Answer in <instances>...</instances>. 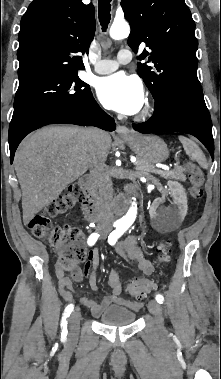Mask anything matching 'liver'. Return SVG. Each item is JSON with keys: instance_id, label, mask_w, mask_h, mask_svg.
Masks as SVG:
<instances>
[{"instance_id": "liver-1", "label": "liver", "mask_w": 221, "mask_h": 379, "mask_svg": "<svg viewBox=\"0 0 221 379\" xmlns=\"http://www.w3.org/2000/svg\"><path fill=\"white\" fill-rule=\"evenodd\" d=\"M86 130L48 126L28 135L19 145L14 166L22 190L25 225L88 170L93 143ZM110 147V135L102 132L96 152L103 161Z\"/></svg>"}]
</instances>
